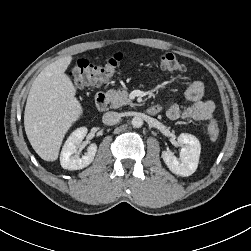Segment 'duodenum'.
Wrapping results in <instances>:
<instances>
[{"label":"duodenum","instance_id":"duodenum-1","mask_svg":"<svg viewBox=\"0 0 251 251\" xmlns=\"http://www.w3.org/2000/svg\"><path fill=\"white\" fill-rule=\"evenodd\" d=\"M96 106L100 111H105L108 107V97L105 92H98L95 97ZM161 111L159 105H151L147 108V113L150 115H156Z\"/></svg>","mask_w":251,"mask_h":251}]
</instances>
